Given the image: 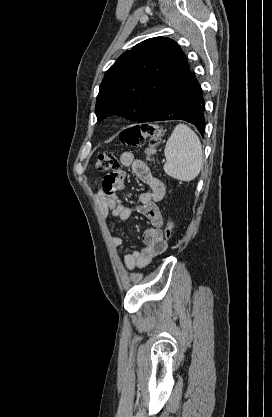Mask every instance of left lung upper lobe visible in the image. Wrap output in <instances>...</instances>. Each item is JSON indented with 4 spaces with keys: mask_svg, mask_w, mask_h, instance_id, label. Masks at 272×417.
<instances>
[{
    "mask_svg": "<svg viewBox=\"0 0 272 417\" xmlns=\"http://www.w3.org/2000/svg\"><path fill=\"white\" fill-rule=\"evenodd\" d=\"M187 66L184 52L169 38L137 44L105 73L96 99L97 119L117 114L141 123Z\"/></svg>",
    "mask_w": 272,
    "mask_h": 417,
    "instance_id": "1",
    "label": "left lung upper lobe"
}]
</instances>
